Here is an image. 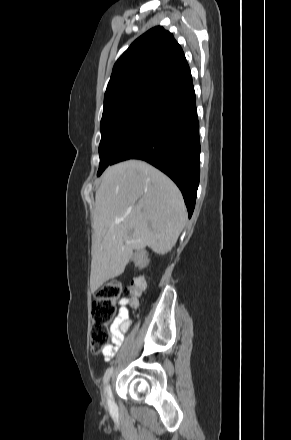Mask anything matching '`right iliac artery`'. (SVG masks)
<instances>
[{
	"instance_id": "right-iliac-artery-1",
	"label": "right iliac artery",
	"mask_w": 291,
	"mask_h": 440,
	"mask_svg": "<svg viewBox=\"0 0 291 440\" xmlns=\"http://www.w3.org/2000/svg\"><path fill=\"white\" fill-rule=\"evenodd\" d=\"M113 372V367H110L106 370L105 374H104V378H103V382L104 384L107 383V381L109 380L111 374Z\"/></svg>"
}]
</instances>
